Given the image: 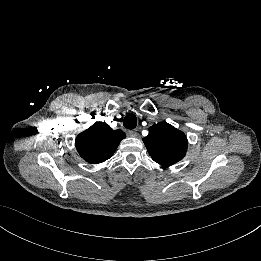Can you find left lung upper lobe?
<instances>
[{
	"label": "left lung upper lobe",
	"instance_id": "5c2ea615",
	"mask_svg": "<svg viewBox=\"0 0 261 261\" xmlns=\"http://www.w3.org/2000/svg\"><path fill=\"white\" fill-rule=\"evenodd\" d=\"M143 141L152 159L163 166L184 158L188 146L185 134L166 122L151 126Z\"/></svg>",
	"mask_w": 261,
	"mask_h": 261
}]
</instances>
